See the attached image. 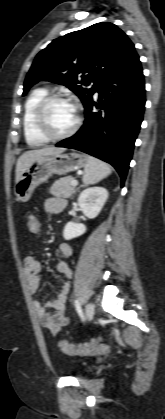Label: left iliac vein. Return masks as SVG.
I'll list each match as a JSON object with an SVG mask.
<instances>
[{
	"instance_id": "4c4485c4",
	"label": "left iliac vein",
	"mask_w": 165,
	"mask_h": 419,
	"mask_svg": "<svg viewBox=\"0 0 165 419\" xmlns=\"http://www.w3.org/2000/svg\"><path fill=\"white\" fill-rule=\"evenodd\" d=\"M85 314H86V318H87L89 321H91V320L93 319V316H94V306H93V304H92L91 302H89V303L86 305V308H85Z\"/></svg>"
}]
</instances>
